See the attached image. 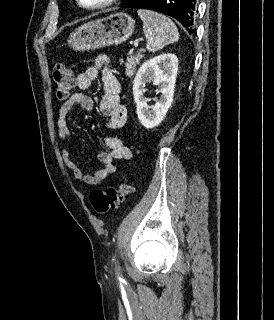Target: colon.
Listing matches in <instances>:
<instances>
[{"label":"colon","mask_w":274,"mask_h":320,"mask_svg":"<svg viewBox=\"0 0 274 320\" xmlns=\"http://www.w3.org/2000/svg\"><path fill=\"white\" fill-rule=\"evenodd\" d=\"M53 80L57 99L60 101L68 99L75 84L73 71L64 63L59 62L54 67ZM131 192V183L122 180L117 187L93 191L90 194L89 202L99 214H105L123 204Z\"/></svg>","instance_id":"5ec220e1"}]
</instances>
